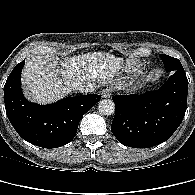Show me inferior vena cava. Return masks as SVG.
<instances>
[{"label": "inferior vena cava", "mask_w": 195, "mask_h": 195, "mask_svg": "<svg viewBox=\"0 0 195 195\" xmlns=\"http://www.w3.org/2000/svg\"><path fill=\"white\" fill-rule=\"evenodd\" d=\"M76 90L81 93L93 92L96 89V86L92 83H84L75 87Z\"/></svg>", "instance_id": "602c4592"}]
</instances>
